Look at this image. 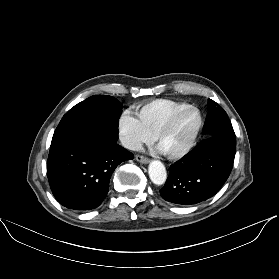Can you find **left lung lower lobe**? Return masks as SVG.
Listing matches in <instances>:
<instances>
[{
    "mask_svg": "<svg viewBox=\"0 0 279 279\" xmlns=\"http://www.w3.org/2000/svg\"><path fill=\"white\" fill-rule=\"evenodd\" d=\"M236 140L211 137L170 166L160 190L163 199L192 205L214 196L228 179L235 158Z\"/></svg>",
    "mask_w": 279,
    "mask_h": 279,
    "instance_id": "1",
    "label": "left lung lower lobe"
}]
</instances>
